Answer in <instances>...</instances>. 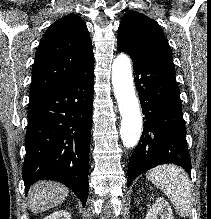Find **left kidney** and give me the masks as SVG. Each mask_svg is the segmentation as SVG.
I'll return each mask as SVG.
<instances>
[{
	"instance_id": "obj_1",
	"label": "left kidney",
	"mask_w": 211,
	"mask_h": 219,
	"mask_svg": "<svg viewBox=\"0 0 211 219\" xmlns=\"http://www.w3.org/2000/svg\"><path fill=\"white\" fill-rule=\"evenodd\" d=\"M145 219H174L171 206L162 197L157 198Z\"/></svg>"
}]
</instances>
